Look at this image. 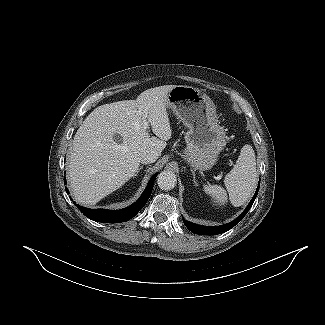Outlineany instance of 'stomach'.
Instances as JSON below:
<instances>
[{"mask_svg": "<svg viewBox=\"0 0 325 325\" xmlns=\"http://www.w3.org/2000/svg\"><path fill=\"white\" fill-rule=\"evenodd\" d=\"M167 106L188 128L182 158L196 170L212 168L226 145V133L211 98L198 88L178 85L168 93Z\"/></svg>", "mask_w": 325, "mask_h": 325, "instance_id": "0dacf381", "label": "stomach"}]
</instances>
